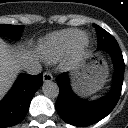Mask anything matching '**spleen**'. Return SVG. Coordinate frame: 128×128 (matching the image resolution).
I'll return each mask as SVG.
<instances>
[{"mask_svg": "<svg viewBox=\"0 0 128 128\" xmlns=\"http://www.w3.org/2000/svg\"><path fill=\"white\" fill-rule=\"evenodd\" d=\"M84 84H85L84 88L87 91H91V90H93V89H95V88H97L99 86L97 79H94V80L91 79V81H87V83H84Z\"/></svg>", "mask_w": 128, "mask_h": 128, "instance_id": "obj_1", "label": "spleen"}]
</instances>
